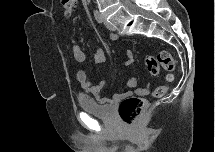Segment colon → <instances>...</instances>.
Here are the masks:
<instances>
[{
	"label": "colon",
	"mask_w": 215,
	"mask_h": 152,
	"mask_svg": "<svg viewBox=\"0 0 215 152\" xmlns=\"http://www.w3.org/2000/svg\"><path fill=\"white\" fill-rule=\"evenodd\" d=\"M62 7L66 16L72 15L77 9L75 0H63ZM146 66L152 75H157L162 66L169 74L164 83L156 87L153 97L160 98L166 95L170 83L173 81V72L176 69L175 61L168 51H160L156 56L146 57ZM148 104V100L142 97L130 96L124 98L119 105V116L126 124H133L138 116L143 112Z\"/></svg>",
	"instance_id": "1"
}]
</instances>
